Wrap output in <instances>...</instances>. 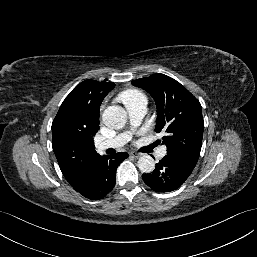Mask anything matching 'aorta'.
Listing matches in <instances>:
<instances>
[{
	"instance_id": "1",
	"label": "aorta",
	"mask_w": 257,
	"mask_h": 257,
	"mask_svg": "<svg viewBox=\"0 0 257 257\" xmlns=\"http://www.w3.org/2000/svg\"><path fill=\"white\" fill-rule=\"evenodd\" d=\"M102 120L108 128L118 130L126 124L127 113L121 106H109L104 110ZM137 163L143 173H151L155 169V161L150 155L141 156Z\"/></svg>"
}]
</instances>
